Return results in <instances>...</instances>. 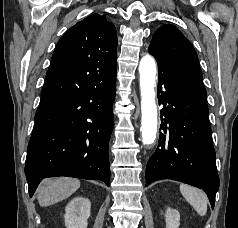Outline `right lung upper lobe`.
<instances>
[{
  "instance_id": "right-lung-upper-lobe-1",
  "label": "right lung upper lobe",
  "mask_w": 238,
  "mask_h": 228,
  "mask_svg": "<svg viewBox=\"0 0 238 228\" xmlns=\"http://www.w3.org/2000/svg\"><path fill=\"white\" fill-rule=\"evenodd\" d=\"M117 34L105 15L93 14L58 41L40 104L93 90L116 77Z\"/></svg>"
}]
</instances>
